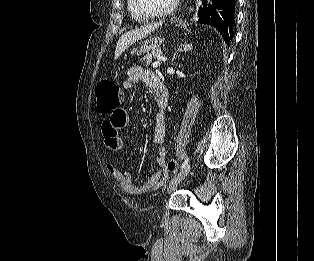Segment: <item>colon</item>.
Here are the masks:
<instances>
[{"label": "colon", "instance_id": "colon-1", "mask_svg": "<svg viewBox=\"0 0 314 261\" xmlns=\"http://www.w3.org/2000/svg\"><path fill=\"white\" fill-rule=\"evenodd\" d=\"M97 108L102 115H108L112 109H119L123 99L120 87L111 80H102L96 87ZM169 172H175L178 163L169 160L166 164Z\"/></svg>", "mask_w": 314, "mask_h": 261}]
</instances>
